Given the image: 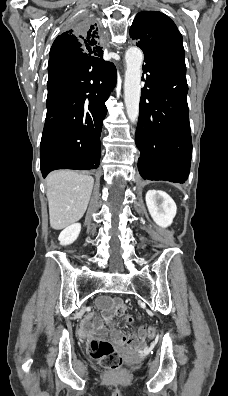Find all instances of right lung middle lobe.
<instances>
[{"label":"right lung middle lobe","mask_w":228,"mask_h":396,"mask_svg":"<svg viewBox=\"0 0 228 396\" xmlns=\"http://www.w3.org/2000/svg\"><path fill=\"white\" fill-rule=\"evenodd\" d=\"M85 25H87V21L86 20H81L78 23L79 27L85 26ZM48 74H49L48 80H51L52 78H54L55 76H57L59 74V71H57V70L48 71Z\"/></svg>","instance_id":"obj_1"}]
</instances>
